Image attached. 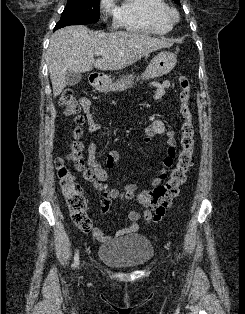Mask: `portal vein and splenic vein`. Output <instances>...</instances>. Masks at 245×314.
Here are the masks:
<instances>
[{
  "label": "portal vein and splenic vein",
  "instance_id": "18ae733b",
  "mask_svg": "<svg viewBox=\"0 0 245 314\" xmlns=\"http://www.w3.org/2000/svg\"><path fill=\"white\" fill-rule=\"evenodd\" d=\"M96 54H97V55H101V56L105 55V53H104V52H102V51L97 52Z\"/></svg>",
  "mask_w": 245,
  "mask_h": 314
}]
</instances>
